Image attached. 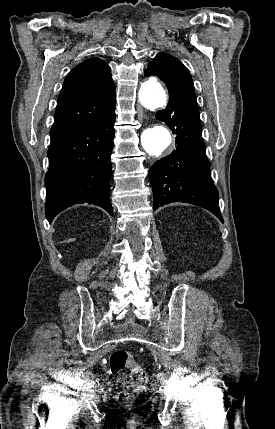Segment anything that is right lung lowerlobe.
<instances>
[{
	"instance_id": "1",
	"label": "right lung lower lobe",
	"mask_w": 275,
	"mask_h": 429,
	"mask_svg": "<svg viewBox=\"0 0 275 429\" xmlns=\"http://www.w3.org/2000/svg\"><path fill=\"white\" fill-rule=\"evenodd\" d=\"M116 98V95H115ZM115 114L51 135L45 214L48 221L74 204L90 203L112 215L109 198Z\"/></svg>"
}]
</instances>
